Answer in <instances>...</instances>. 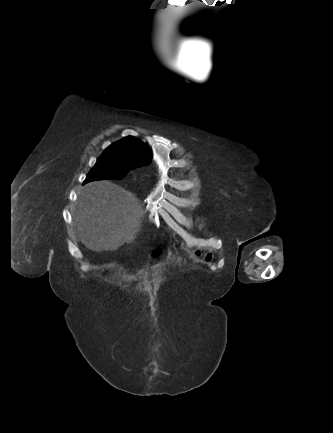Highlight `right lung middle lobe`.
<instances>
[{
    "label": "right lung middle lobe",
    "mask_w": 333,
    "mask_h": 433,
    "mask_svg": "<svg viewBox=\"0 0 333 433\" xmlns=\"http://www.w3.org/2000/svg\"><path fill=\"white\" fill-rule=\"evenodd\" d=\"M142 166L131 157H119L103 152L95 166L88 173L85 182L102 179H122L132 168Z\"/></svg>",
    "instance_id": "right-lung-middle-lobe-1"
}]
</instances>
